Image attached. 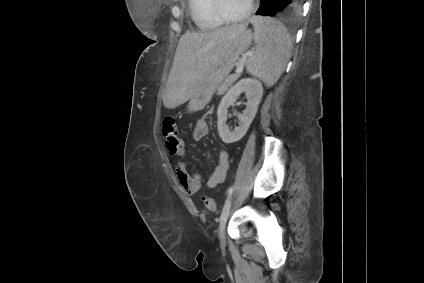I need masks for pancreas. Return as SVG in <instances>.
Wrapping results in <instances>:
<instances>
[{"mask_svg":"<svg viewBox=\"0 0 424 283\" xmlns=\"http://www.w3.org/2000/svg\"><path fill=\"white\" fill-rule=\"evenodd\" d=\"M239 74H233L223 80V82L217 88V95H223L229 87L239 78Z\"/></svg>","mask_w":424,"mask_h":283,"instance_id":"pancreas-1","label":"pancreas"}]
</instances>
